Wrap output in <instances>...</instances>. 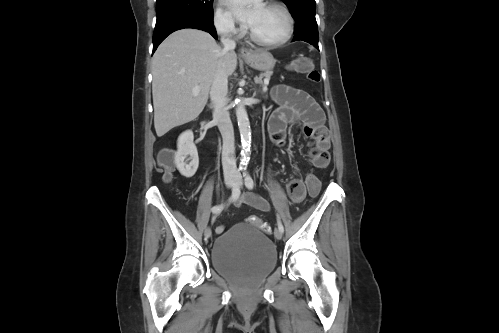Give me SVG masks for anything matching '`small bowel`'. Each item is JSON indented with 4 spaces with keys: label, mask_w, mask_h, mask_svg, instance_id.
<instances>
[{
    "label": "small bowel",
    "mask_w": 499,
    "mask_h": 333,
    "mask_svg": "<svg viewBox=\"0 0 499 333\" xmlns=\"http://www.w3.org/2000/svg\"><path fill=\"white\" fill-rule=\"evenodd\" d=\"M272 97L279 107L273 111L268 121V132L276 145H282L287 129L300 124L303 133L311 139L309 156L313 165L325 169L330 163V133L325 126V116L321 107L305 91L286 85H277L272 89ZM286 192L292 203H300L306 196V188L301 179H293L286 185ZM235 205H249L260 211L270 210L269 203L255 194H244L235 200ZM224 230L219 226L217 231Z\"/></svg>",
    "instance_id": "obj_1"
}]
</instances>
